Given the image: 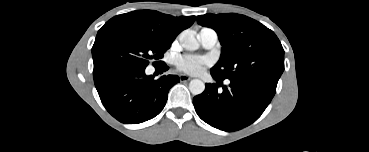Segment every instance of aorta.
Segmentation results:
<instances>
[{
    "mask_svg": "<svg viewBox=\"0 0 369 152\" xmlns=\"http://www.w3.org/2000/svg\"><path fill=\"white\" fill-rule=\"evenodd\" d=\"M179 42L188 51H195L199 48V42L195 36L188 32H182L180 34ZM189 90L193 95H199L205 90V84L199 79H193L189 83Z\"/></svg>",
    "mask_w": 369,
    "mask_h": 152,
    "instance_id": "obj_1",
    "label": "aorta"
}]
</instances>
